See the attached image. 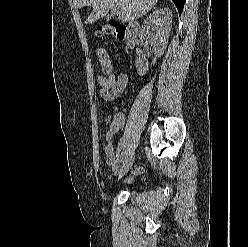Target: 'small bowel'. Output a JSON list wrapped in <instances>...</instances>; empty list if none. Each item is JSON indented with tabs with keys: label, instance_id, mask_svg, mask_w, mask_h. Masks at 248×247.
I'll list each match as a JSON object with an SVG mask.
<instances>
[{
	"label": "small bowel",
	"instance_id": "1",
	"mask_svg": "<svg viewBox=\"0 0 248 247\" xmlns=\"http://www.w3.org/2000/svg\"><path fill=\"white\" fill-rule=\"evenodd\" d=\"M100 85V94L106 101H112L119 97L124 91L128 78L125 74H109L108 76L97 75ZM125 117L122 114L116 115L111 127L106 134L107 145L105 147V154L107 163L113 168L114 172H118L120 163L116 160L114 154V146L112 137L119 133L124 126Z\"/></svg>",
	"mask_w": 248,
	"mask_h": 247
}]
</instances>
